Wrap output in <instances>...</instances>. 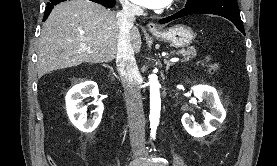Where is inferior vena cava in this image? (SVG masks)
Here are the masks:
<instances>
[{"mask_svg":"<svg viewBox=\"0 0 277 166\" xmlns=\"http://www.w3.org/2000/svg\"><path fill=\"white\" fill-rule=\"evenodd\" d=\"M122 11L116 14L119 24V39L117 43L116 64L123 77V88L126 99L130 143L135 156L145 153V117L141 92L138 84L139 71L134 50L130 41V30L135 16L142 12L141 8L120 0Z\"/></svg>","mask_w":277,"mask_h":166,"instance_id":"inferior-vena-cava-1","label":"inferior vena cava"}]
</instances>
